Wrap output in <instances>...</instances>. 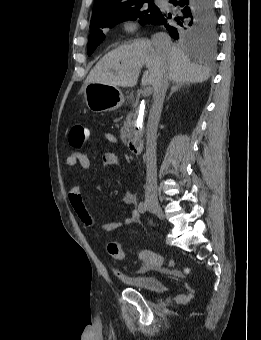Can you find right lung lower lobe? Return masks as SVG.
Listing matches in <instances>:
<instances>
[{
	"label": "right lung lower lobe",
	"instance_id": "obj_1",
	"mask_svg": "<svg viewBox=\"0 0 261 340\" xmlns=\"http://www.w3.org/2000/svg\"><path fill=\"white\" fill-rule=\"evenodd\" d=\"M173 10H160L158 15L152 20L151 24L163 25L169 31V34L176 39L174 22H178L186 17L194 9L198 13L211 14L214 13V0H170ZM215 14V13H214Z\"/></svg>",
	"mask_w": 261,
	"mask_h": 340
}]
</instances>
